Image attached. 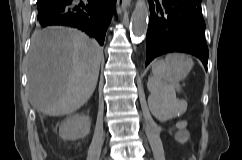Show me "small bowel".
Listing matches in <instances>:
<instances>
[{"label": "small bowel", "mask_w": 242, "mask_h": 160, "mask_svg": "<svg viewBox=\"0 0 242 160\" xmlns=\"http://www.w3.org/2000/svg\"><path fill=\"white\" fill-rule=\"evenodd\" d=\"M177 138L181 142H185L188 139V131L185 129L184 125H181V129L177 134Z\"/></svg>", "instance_id": "obj_1"}]
</instances>
